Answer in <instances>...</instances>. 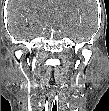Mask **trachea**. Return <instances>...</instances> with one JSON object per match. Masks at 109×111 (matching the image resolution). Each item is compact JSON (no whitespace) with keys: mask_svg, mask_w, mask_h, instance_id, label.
Segmentation results:
<instances>
[{"mask_svg":"<svg viewBox=\"0 0 109 111\" xmlns=\"http://www.w3.org/2000/svg\"><path fill=\"white\" fill-rule=\"evenodd\" d=\"M52 111H56L55 105L53 106V109H52Z\"/></svg>","mask_w":109,"mask_h":111,"instance_id":"3493384b","label":"trachea"}]
</instances>
